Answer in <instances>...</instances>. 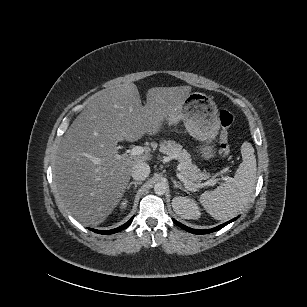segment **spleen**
<instances>
[{"instance_id": "obj_1", "label": "spleen", "mask_w": 307, "mask_h": 307, "mask_svg": "<svg viewBox=\"0 0 307 307\" xmlns=\"http://www.w3.org/2000/svg\"><path fill=\"white\" fill-rule=\"evenodd\" d=\"M240 152L242 162L234 178L201 195L204 206L216 219L225 220L239 212L255 188L257 168L254 148L250 142H243Z\"/></svg>"}]
</instances>
